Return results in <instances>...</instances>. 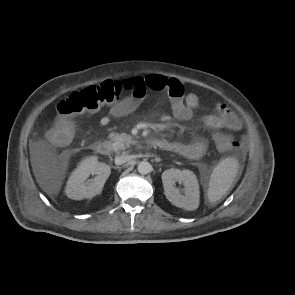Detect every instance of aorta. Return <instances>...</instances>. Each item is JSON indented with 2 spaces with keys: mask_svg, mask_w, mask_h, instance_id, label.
<instances>
[{
  "mask_svg": "<svg viewBox=\"0 0 295 295\" xmlns=\"http://www.w3.org/2000/svg\"><path fill=\"white\" fill-rule=\"evenodd\" d=\"M137 169H138V172H139L140 174L145 175V174H148V173L151 171L152 166H151V164H150L149 162H147V161H141V162L138 164Z\"/></svg>",
  "mask_w": 295,
  "mask_h": 295,
  "instance_id": "762f6f07",
  "label": "aorta"
}]
</instances>
